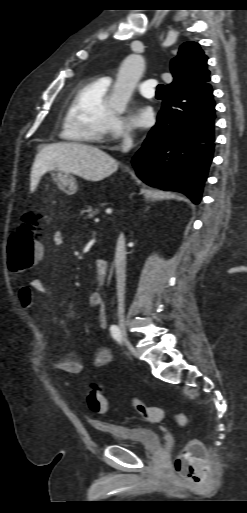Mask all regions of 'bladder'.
Returning <instances> with one entry per match:
<instances>
[{
    "label": "bladder",
    "mask_w": 247,
    "mask_h": 513,
    "mask_svg": "<svg viewBox=\"0 0 247 513\" xmlns=\"http://www.w3.org/2000/svg\"><path fill=\"white\" fill-rule=\"evenodd\" d=\"M95 427L109 433L118 444L138 445L144 451L158 450L161 447L158 434L149 428L115 425L108 422H99Z\"/></svg>",
    "instance_id": "bladder-1"
}]
</instances>
